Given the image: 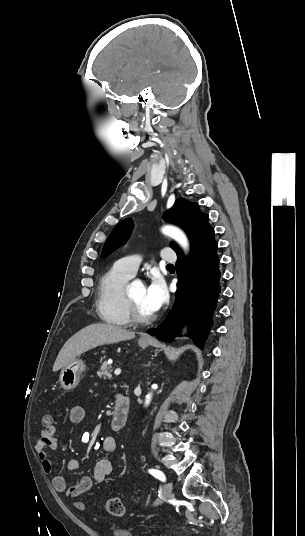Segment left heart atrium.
Returning a JSON list of instances; mask_svg holds the SVG:
<instances>
[{
    "label": "left heart atrium",
    "instance_id": "1",
    "mask_svg": "<svg viewBox=\"0 0 305 536\" xmlns=\"http://www.w3.org/2000/svg\"><path fill=\"white\" fill-rule=\"evenodd\" d=\"M165 299L164 285L157 275H152L148 284L145 286L144 301L146 307L151 311H157Z\"/></svg>",
    "mask_w": 305,
    "mask_h": 536
}]
</instances>
